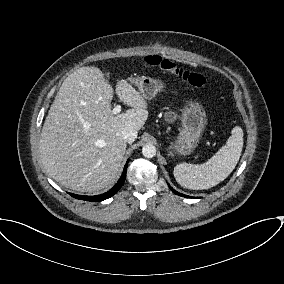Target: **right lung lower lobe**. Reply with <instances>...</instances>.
<instances>
[{
	"label": "right lung lower lobe",
	"instance_id": "1",
	"mask_svg": "<svg viewBox=\"0 0 284 284\" xmlns=\"http://www.w3.org/2000/svg\"><path fill=\"white\" fill-rule=\"evenodd\" d=\"M127 164H128V161H127V163L124 167L121 178L119 179L117 184L112 189H110L108 192L101 194V195H97V196H82V195H76V194H72V193H69V194L76 199L85 200V201H92V202L103 201L107 198H110L111 196L116 194L118 192V190L123 186L125 178H126Z\"/></svg>",
	"mask_w": 284,
	"mask_h": 284
}]
</instances>
